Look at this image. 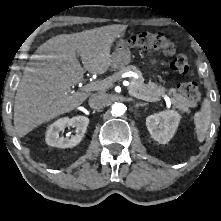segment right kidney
I'll use <instances>...</instances> for the list:
<instances>
[{"instance_id":"ca27d5eb","label":"right kidney","mask_w":221,"mask_h":221,"mask_svg":"<svg viewBox=\"0 0 221 221\" xmlns=\"http://www.w3.org/2000/svg\"><path fill=\"white\" fill-rule=\"evenodd\" d=\"M89 119L85 116H75L72 118L63 117L51 124L46 133V143L52 147L71 148L76 146L86 132ZM66 127H75V135L64 137L60 132H64Z\"/></svg>"}]
</instances>
